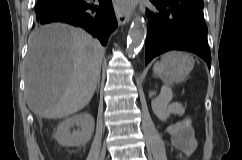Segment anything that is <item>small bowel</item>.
I'll return each instance as SVG.
<instances>
[{
	"label": "small bowel",
	"mask_w": 242,
	"mask_h": 160,
	"mask_svg": "<svg viewBox=\"0 0 242 160\" xmlns=\"http://www.w3.org/2000/svg\"><path fill=\"white\" fill-rule=\"evenodd\" d=\"M174 144L180 150L181 155L188 156L197 148V140L194 135L191 122L184 118L171 128Z\"/></svg>",
	"instance_id": "c3829d8e"
}]
</instances>
